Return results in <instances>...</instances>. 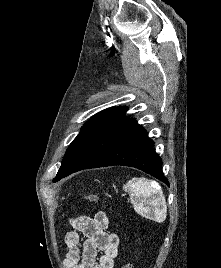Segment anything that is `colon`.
<instances>
[{"mask_svg":"<svg viewBox=\"0 0 221 268\" xmlns=\"http://www.w3.org/2000/svg\"><path fill=\"white\" fill-rule=\"evenodd\" d=\"M89 203H97L99 201V197L97 195H88L84 198ZM122 268H131L129 264H124Z\"/></svg>","mask_w":221,"mask_h":268,"instance_id":"colon-1","label":"colon"}]
</instances>
